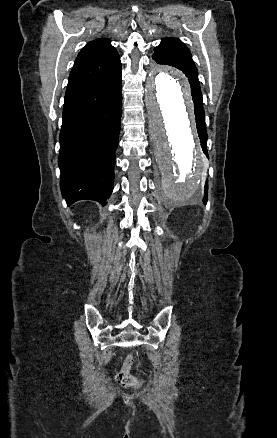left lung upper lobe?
<instances>
[{
    "label": "left lung upper lobe",
    "instance_id": "1",
    "mask_svg": "<svg viewBox=\"0 0 277 438\" xmlns=\"http://www.w3.org/2000/svg\"><path fill=\"white\" fill-rule=\"evenodd\" d=\"M152 58L159 64H168L181 70L188 78L194 102V112L204 113L198 72L189 49L176 38H164L154 48Z\"/></svg>",
    "mask_w": 277,
    "mask_h": 438
}]
</instances>
